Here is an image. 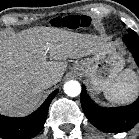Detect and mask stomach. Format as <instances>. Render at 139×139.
<instances>
[{"instance_id": "1", "label": "stomach", "mask_w": 139, "mask_h": 139, "mask_svg": "<svg viewBox=\"0 0 139 139\" xmlns=\"http://www.w3.org/2000/svg\"><path fill=\"white\" fill-rule=\"evenodd\" d=\"M102 41L98 38L99 46L94 58L76 61L72 67L73 73L85 74L96 91L108 89L122 66V60Z\"/></svg>"}]
</instances>
